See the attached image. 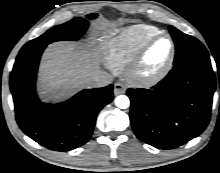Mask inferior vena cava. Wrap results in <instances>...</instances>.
Returning <instances> with one entry per match:
<instances>
[{"label": "inferior vena cava", "instance_id": "1", "mask_svg": "<svg viewBox=\"0 0 220 173\" xmlns=\"http://www.w3.org/2000/svg\"><path fill=\"white\" fill-rule=\"evenodd\" d=\"M113 81L112 76L105 72L100 71L99 73L93 75L88 83L89 88H99V87H105L109 84H111Z\"/></svg>", "mask_w": 220, "mask_h": 173}]
</instances>
